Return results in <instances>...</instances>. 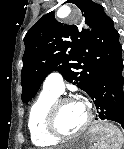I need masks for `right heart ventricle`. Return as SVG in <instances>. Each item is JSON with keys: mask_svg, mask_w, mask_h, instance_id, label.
Wrapping results in <instances>:
<instances>
[{"mask_svg": "<svg viewBox=\"0 0 124 149\" xmlns=\"http://www.w3.org/2000/svg\"><path fill=\"white\" fill-rule=\"evenodd\" d=\"M58 96L53 92L43 91L30 108L27 123L28 131L32 143L38 147H52L59 142L46 129L47 111Z\"/></svg>", "mask_w": 124, "mask_h": 149, "instance_id": "1", "label": "right heart ventricle"}]
</instances>
